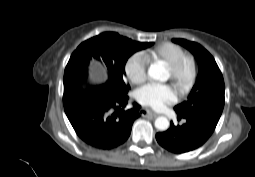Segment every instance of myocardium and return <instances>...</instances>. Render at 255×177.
<instances>
[{
  "instance_id": "obj_1",
  "label": "myocardium",
  "mask_w": 255,
  "mask_h": 177,
  "mask_svg": "<svg viewBox=\"0 0 255 177\" xmlns=\"http://www.w3.org/2000/svg\"><path fill=\"white\" fill-rule=\"evenodd\" d=\"M171 79L181 90H187L196 76V61L191 54L184 53L172 63L167 64Z\"/></svg>"
}]
</instances>
